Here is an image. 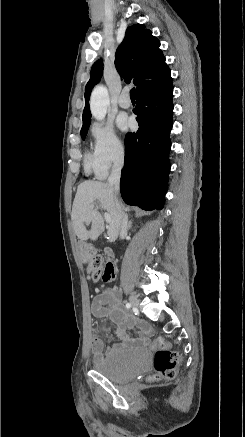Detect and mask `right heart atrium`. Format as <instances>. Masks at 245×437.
<instances>
[{
    "label": "right heart atrium",
    "instance_id": "1",
    "mask_svg": "<svg viewBox=\"0 0 245 437\" xmlns=\"http://www.w3.org/2000/svg\"><path fill=\"white\" fill-rule=\"evenodd\" d=\"M93 141L92 160L94 171L100 178L120 166L125 156V145L111 124L94 123L90 129Z\"/></svg>",
    "mask_w": 245,
    "mask_h": 437
}]
</instances>
